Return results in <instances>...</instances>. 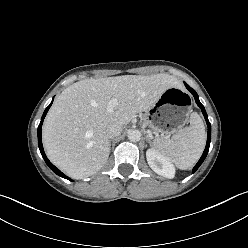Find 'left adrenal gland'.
Returning <instances> with one entry per match:
<instances>
[{
  "instance_id": "obj_1",
  "label": "left adrenal gland",
  "mask_w": 248,
  "mask_h": 248,
  "mask_svg": "<svg viewBox=\"0 0 248 248\" xmlns=\"http://www.w3.org/2000/svg\"><path fill=\"white\" fill-rule=\"evenodd\" d=\"M146 140H147V142L151 145V140H150V138H149L148 135L146 136Z\"/></svg>"
}]
</instances>
